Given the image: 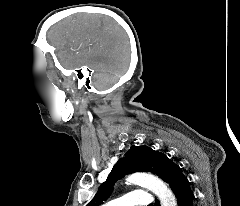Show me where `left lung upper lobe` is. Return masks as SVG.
<instances>
[{"instance_id":"5c2ea615","label":"left lung upper lobe","mask_w":240,"mask_h":206,"mask_svg":"<svg viewBox=\"0 0 240 206\" xmlns=\"http://www.w3.org/2000/svg\"><path fill=\"white\" fill-rule=\"evenodd\" d=\"M114 165L107 180L100 186L95 197L86 206H99L111 194L114 183L126 174L152 172L165 181L167 171L174 164L166 155L147 146H132Z\"/></svg>"}]
</instances>
